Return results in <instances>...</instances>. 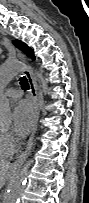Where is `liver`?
Instances as JSON below:
<instances>
[{
    "mask_svg": "<svg viewBox=\"0 0 89 203\" xmlns=\"http://www.w3.org/2000/svg\"><path fill=\"white\" fill-rule=\"evenodd\" d=\"M10 169H11L10 162L7 161L0 162V186H3L5 184V178L9 174Z\"/></svg>",
    "mask_w": 89,
    "mask_h": 203,
    "instance_id": "6515ba94",
    "label": "liver"
}]
</instances>
